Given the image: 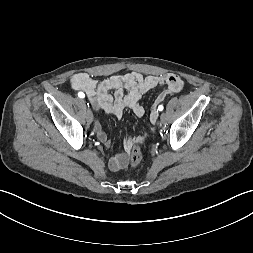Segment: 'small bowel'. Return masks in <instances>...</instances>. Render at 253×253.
Instances as JSON below:
<instances>
[{
    "label": "small bowel",
    "mask_w": 253,
    "mask_h": 253,
    "mask_svg": "<svg viewBox=\"0 0 253 253\" xmlns=\"http://www.w3.org/2000/svg\"><path fill=\"white\" fill-rule=\"evenodd\" d=\"M70 86L73 90L84 91L92 106L107 114L114 115L117 118L122 117L125 109H130L137 117L145 114L140 100L144 94L158 85L165 86L157 97V102H161L166 95L179 93L184 87L183 80L176 74L167 73L160 76L142 75L138 72H128L123 75H112L100 82L89 74L80 72L70 78ZM158 118L156 108H153L149 120L155 124ZM95 132L97 138L109 147L111 141L100 121L95 122ZM154 132L151 129L138 138L127 136L124 140V153L112 157L109 161V167L113 171L123 169L127 165L128 153L135 144L143 143Z\"/></svg>",
    "instance_id": "1"
}]
</instances>
